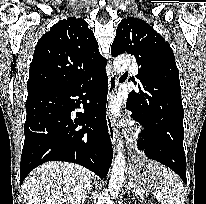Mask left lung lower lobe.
Instances as JSON below:
<instances>
[{
  "mask_svg": "<svg viewBox=\"0 0 206 204\" xmlns=\"http://www.w3.org/2000/svg\"><path fill=\"white\" fill-rule=\"evenodd\" d=\"M139 92L133 91L129 94L127 109L131 110V117L144 126L143 142L140 143V147L149 159L168 166L186 183L182 101L176 100L169 105L158 106L151 121L145 120L140 113L142 89L139 88Z\"/></svg>",
  "mask_w": 206,
  "mask_h": 204,
  "instance_id": "left-lung-lower-lobe-1",
  "label": "left lung lower lobe"
}]
</instances>
